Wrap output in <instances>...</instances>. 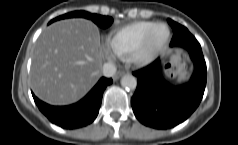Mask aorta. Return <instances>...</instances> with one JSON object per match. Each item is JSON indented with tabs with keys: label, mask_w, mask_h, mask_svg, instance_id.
<instances>
[{
	"label": "aorta",
	"mask_w": 238,
	"mask_h": 145,
	"mask_svg": "<svg viewBox=\"0 0 238 145\" xmlns=\"http://www.w3.org/2000/svg\"><path fill=\"white\" fill-rule=\"evenodd\" d=\"M121 85L125 89L134 90L136 88V86H137V80H136V78L133 75L125 74L121 78Z\"/></svg>",
	"instance_id": "aorta-1"
}]
</instances>
